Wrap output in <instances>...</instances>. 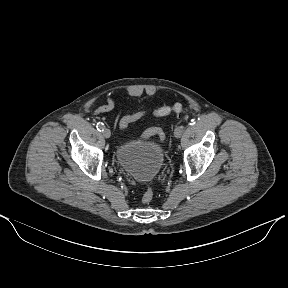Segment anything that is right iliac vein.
<instances>
[{
    "label": "right iliac vein",
    "mask_w": 288,
    "mask_h": 288,
    "mask_svg": "<svg viewBox=\"0 0 288 288\" xmlns=\"http://www.w3.org/2000/svg\"><path fill=\"white\" fill-rule=\"evenodd\" d=\"M103 136L106 138V139H108V138H110V136H111V132H110V130L109 129H104L103 130Z\"/></svg>",
    "instance_id": "63e3f726"
}]
</instances>
